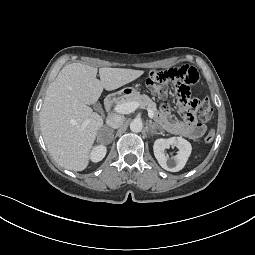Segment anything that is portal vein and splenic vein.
<instances>
[{
  "mask_svg": "<svg viewBox=\"0 0 255 255\" xmlns=\"http://www.w3.org/2000/svg\"><path fill=\"white\" fill-rule=\"evenodd\" d=\"M140 104L138 102H125V103H118L114 107V111L119 114H129L134 112ZM149 118L153 119L154 114L151 109H147ZM89 121H85V125L88 124Z\"/></svg>",
  "mask_w": 255,
  "mask_h": 255,
  "instance_id": "portal-vein-and-splenic-vein-1",
  "label": "portal vein and splenic vein"
}]
</instances>
